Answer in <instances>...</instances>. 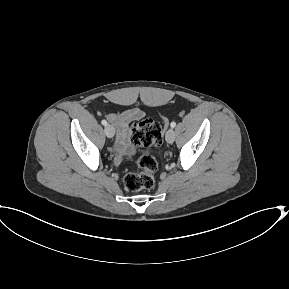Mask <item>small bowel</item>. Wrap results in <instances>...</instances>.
<instances>
[{
  "mask_svg": "<svg viewBox=\"0 0 289 289\" xmlns=\"http://www.w3.org/2000/svg\"><path fill=\"white\" fill-rule=\"evenodd\" d=\"M140 108H132L120 113H109L107 118L117 129L116 150L120 154L130 155L133 149L129 146L131 137L130 124L144 117Z\"/></svg>",
  "mask_w": 289,
  "mask_h": 289,
  "instance_id": "1",
  "label": "small bowel"
}]
</instances>
